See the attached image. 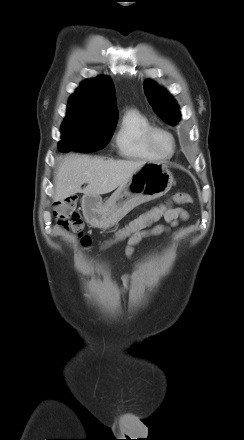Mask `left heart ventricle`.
<instances>
[{
  "instance_id": "b2bd125f",
  "label": "left heart ventricle",
  "mask_w": 244,
  "mask_h": 440,
  "mask_svg": "<svg viewBox=\"0 0 244 440\" xmlns=\"http://www.w3.org/2000/svg\"><path fill=\"white\" fill-rule=\"evenodd\" d=\"M153 142L155 147L164 154H167L172 150V142L170 138L163 133H155Z\"/></svg>"
}]
</instances>
